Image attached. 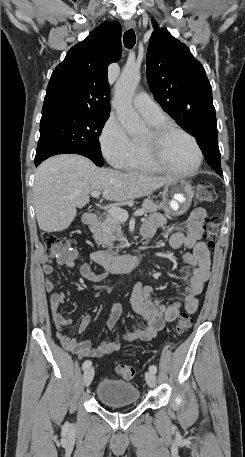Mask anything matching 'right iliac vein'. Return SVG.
<instances>
[{
  "label": "right iliac vein",
  "mask_w": 245,
  "mask_h": 457,
  "mask_svg": "<svg viewBox=\"0 0 245 457\" xmlns=\"http://www.w3.org/2000/svg\"><path fill=\"white\" fill-rule=\"evenodd\" d=\"M83 377H84V385H85V387H88L91 384L93 377H94V368L90 367V368L86 369L83 374Z\"/></svg>",
  "instance_id": "63e3f726"
}]
</instances>
